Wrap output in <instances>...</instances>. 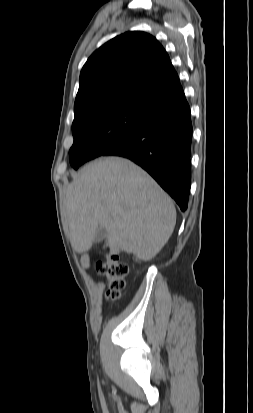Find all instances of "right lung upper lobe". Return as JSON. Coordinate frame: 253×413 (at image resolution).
Masks as SVG:
<instances>
[{"label":"right lung upper lobe","mask_w":253,"mask_h":413,"mask_svg":"<svg viewBox=\"0 0 253 413\" xmlns=\"http://www.w3.org/2000/svg\"><path fill=\"white\" fill-rule=\"evenodd\" d=\"M183 100L179 77L162 45L147 33L127 32L102 45L83 66L74 119L111 107L152 113Z\"/></svg>","instance_id":"right-lung-upper-lobe-1"}]
</instances>
